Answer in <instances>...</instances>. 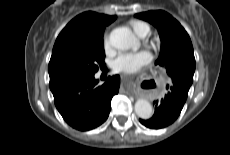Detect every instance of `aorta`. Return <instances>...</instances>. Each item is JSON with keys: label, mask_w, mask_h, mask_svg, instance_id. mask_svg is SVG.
<instances>
[{"label": "aorta", "mask_w": 230, "mask_h": 155, "mask_svg": "<svg viewBox=\"0 0 230 155\" xmlns=\"http://www.w3.org/2000/svg\"><path fill=\"white\" fill-rule=\"evenodd\" d=\"M111 45L120 50H127L137 44L133 32L127 27H118L111 31L109 36ZM135 113L142 119H149L153 114L152 105L148 100L138 99L134 106Z\"/></svg>", "instance_id": "aorta-1"}]
</instances>
